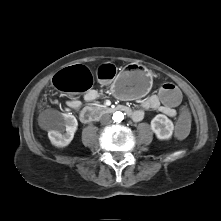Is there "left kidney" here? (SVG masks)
Instances as JSON below:
<instances>
[{"label": "left kidney", "mask_w": 221, "mask_h": 221, "mask_svg": "<svg viewBox=\"0 0 221 221\" xmlns=\"http://www.w3.org/2000/svg\"><path fill=\"white\" fill-rule=\"evenodd\" d=\"M151 129L158 139L168 140L172 137L174 125L166 115L158 114L151 120Z\"/></svg>", "instance_id": "1"}]
</instances>
